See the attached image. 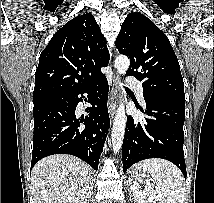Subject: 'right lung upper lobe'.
Listing matches in <instances>:
<instances>
[{"mask_svg": "<svg viewBox=\"0 0 214 203\" xmlns=\"http://www.w3.org/2000/svg\"><path fill=\"white\" fill-rule=\"evenodd\" d=\"M109 52L106 39L90 13L57 31L42 51L35 73L33 99H44L81 87L102 75Z\"/></svg>", "mask_w": 214, "mask_h": 203, "instance_id": "cb5924a9", "label": "right lung upper lobe"}]
</instances>
